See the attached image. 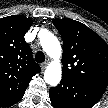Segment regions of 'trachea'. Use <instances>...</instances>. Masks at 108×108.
I'll list each match as a JSON object with an SVG mask.
<instances>
[{
    "mask_svg": "<svg viewBox=\"0 0 108 108\" xmlns=\"http://www.w3.org/2000/svg\"><path fill=\"white\" fill-rule=\"evenodd\" d=\"M35 61L37 63H43L45 61V55L42 51H38L35 55Z\"/></svg>",
    "mask_w": 108,
    "mask_h": 108,
    "instance_id": "3493384b",
    "label": "trachea"
}]
</instances>
